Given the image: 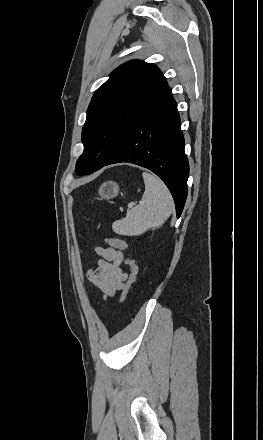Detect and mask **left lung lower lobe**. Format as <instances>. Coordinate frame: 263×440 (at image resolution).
<instances>
[{
	"label": "left lung lower lobe",
	"mask_w": 263,
	"mask_h": 440,
	"mask_svg": "<svg viewBox=\"0 0 263 440\" xmlns=\"http://www.w3.org/2000/svg\"><path fill=\"white\" fill-rule=\"evenodd\" d=\"M119 162L145 167L159 176L170 190L180 217L187 197L189 164L177 104L167 82L137 113L118 150L104 166Z\"/></svg>",
	"instance_id": "0a47b994"
}]
</instances>
